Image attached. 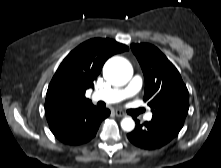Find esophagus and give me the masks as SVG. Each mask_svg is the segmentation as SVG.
<instances>
[{"label":"esophagus","instance_id":"1","mask_svg":"<svg viewBox=\"0 0 221 168\" xmlns=\"http://www.w3.org/2000/svg\"><path fill=\"white\" fill-rule=\"evenodd\" d=\"M114 114L117 116V117H124L125 116V113H123L121 110H114Z\"/></svg>","mask_w":221,"mask_h":168}]
</instances>
